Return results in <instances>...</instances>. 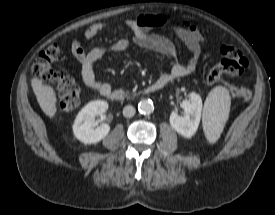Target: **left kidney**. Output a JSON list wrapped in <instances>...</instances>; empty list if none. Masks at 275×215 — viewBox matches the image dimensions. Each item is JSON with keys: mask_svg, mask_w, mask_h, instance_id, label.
Wrapping results in <instances>:
<instances>
[{"mask_svg": "<svg viewBox=\"0 0 275 215\" xmlns=\"http://www.w3.org/2000/svg\"><path fill=\"white\" fill-rule=\"evenodd\" d=\"M181 106L185 111V115L179 116L176 112H172L170 115V124L177 133L190 138L195 134L200 123L202 99L200 95L192 92L189 94V99L184 100Z\"/></svg>", "mask_w": 275, "mask_h": 215, "instance_id": "5707ae66", "label": "left kidney"}]
</instances>
